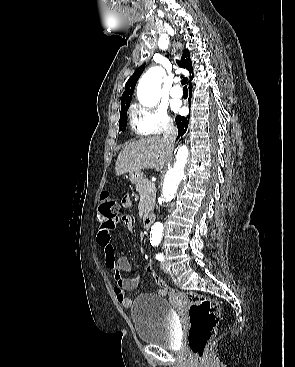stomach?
<instances>
[{
  "instance_id": "1",
  "label": "stomach",
  "mask_w": 295,
  "mask_h": 367,
  "mask_svg": "<svg viewBox=\"0 0 295 367\" xmlns=\"http://www.w3.org/2000/svg\"><path fill=\"white\" fill-rule=\"evenodd\" d=\"M131 183L138 184L143 180V173L141 171L129 173Z\"/></svg>"
}]
</instances>
